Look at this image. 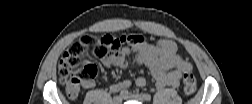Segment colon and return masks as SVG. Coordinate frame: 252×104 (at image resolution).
<instances>
[{
    "instance_id": "5ec220e1",
    "label": "colon",
    "mask_w": 252,
    "mask_h": 104,
    "mask_svg": "<svg viewBox=\"0 0 252 104\" xmlns=\"http://www.w3.org/2000/svg\"><path fill=\"white\" fill-rule=\"evenodd\" d=\"M144 42L139 33L113 37L110 35H86L74 42L61 56L58 73L61 83L65 86L69 97H76L82 82L96 75L92 64L82 61L83 57L92 55L97 59H106L114 54L122 45L137 46ZM184 93L192 96L196 93L198 84L192 73H184L182 77Z\"/></svg>"
}]
</instances>
